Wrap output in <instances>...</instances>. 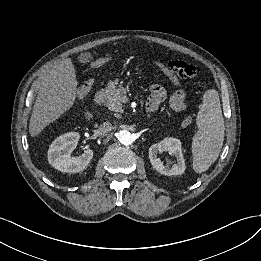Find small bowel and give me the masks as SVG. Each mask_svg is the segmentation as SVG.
<instances>
[{"label": "small bowel", "mask_w": 261, "mask_h": 261, "mask_svg": "<svg viewBox=\"0 0 261 261\" xmlns=\"http://www.w3.org/2000/svg\"><path fill=\"white\" fill-rule=\"evenodd\" d=\"M102 64L101 59H92L88 62V68L94 70ZM176 82V80L173 79ZM167 94L164 87L160 84H153L150 87V96L146 103V108L149 112H156L159 106L166 100ZM170 107L175 111H183L187 107L186 92L182 86H180L170 97ZM190 121L184 120V124L188 125Z\"/></svg>", "instance_id": "1"}]
</instances>
